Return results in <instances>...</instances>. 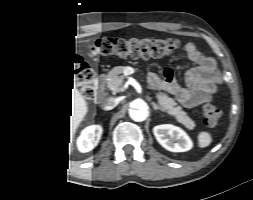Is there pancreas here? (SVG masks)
<instances>
[{
  "label": "pancreas",
  "mask_w": 253,
  "mask_h": 200,
  "mask_svg": "<svg viewBox=\"0 0 253 200\" xmlns=\"http://www.w3.org/2000/svg\"><path fill=\"white\" fill-rule=\"evenodd\" d=\"M131 70L129 67L118 66L111 70L110 76L107 80V86L111 90L120 91L122 88V81L125 78V72ZM157 98L161 104L162 110L168 112L169 114L175 116V118L183 123L185 126H191V120L186 116L181 107H175L176 103L173 99L169 98L165 93L159 92Z\"/></svg>",
  "instance_id": "obj_1"
}]
</instances>
